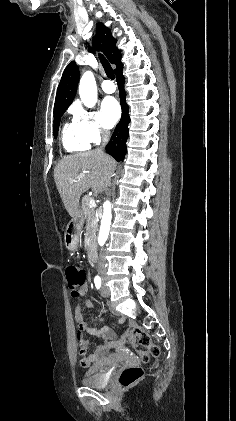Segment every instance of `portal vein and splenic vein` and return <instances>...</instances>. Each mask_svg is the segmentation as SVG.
Listing matches in <instances>:
<instances>
[{
	"label": "portal vein and splenic vein",
	"mask_w": 236,
	"mask_h": 421,
	"mask_svg": "<svg viewBox=\"0 0 236 421\" xmlns=\"http://www.w3.org/2000/svg\"><path fill=\"white\" fill-rule=\"evenodd\" d=\"M85 176H86V174H78V176H76V178H85ZM76 178H69V182H74V180H76ZM89 206H90V208H92V206H96V202H95V200H93V198H90Z\"/></svg>",
	"instance_id": "portal-vein-and-splenic-vein-1"
}]
</instances>
